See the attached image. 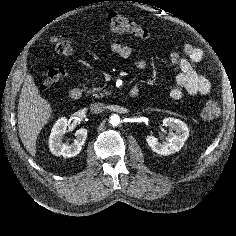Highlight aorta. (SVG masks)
<instances>
[{"mask_svg": "<svg viewBox=\"0 0 236 236\" xmlns=\"http://www.w3.org/2000/svg\"><path fill=\"white\" fill-rule=\"evenodd\" d=\"M120 123V117L116 114L110 117V124L112 126H117Z\"/></svg>", "mask_w": 236, "mask_h": 236, "instance_id": "762f6f07", "label": "aorta"}]
</instances>
